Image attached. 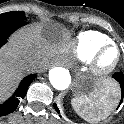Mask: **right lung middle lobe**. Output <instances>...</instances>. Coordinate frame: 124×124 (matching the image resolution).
<instances>
[{
  "label": "right lung middle lobe",
  "instance_id": "1",
  "mask_svg": "<svg viewBox=\"0 0 124 124\" xmlns=\"http://www.w3.org/2000/svg\"><path fill=\"white\" fill-rule=\"evenodd\" d=\"M25 13L22 11H12L0 14V21H15V22H21L25 21Z\"/></svg>",
  "mask_w": 124,
  "mask_h": 124
}]
</instances>
